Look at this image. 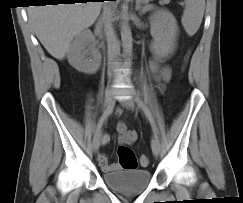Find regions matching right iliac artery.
I'll return each mask as SVG.
<instances>
[{
	"label": "right iliac artery",
	"instance_id": "right-iliac-artery-1",
	"mask_svg": "<svg viewBox=\"0 0 243 203\" xmlns=\"http://www.w3.org/2000/svg\"><path fill=\"white\" fill-rule=\"evenodd\" d=\"M114 106H115V101L112 102L111 105H109L106 110L104 111V113L101 115L98 123H97V126H96V129H95V135L97 133H100V130L104 124V122L108 119L109 115L112 113L113 109H114Z\"/></svg>",
	"mask_w": 243,
	"mask_h": 203
}]
</instances>
